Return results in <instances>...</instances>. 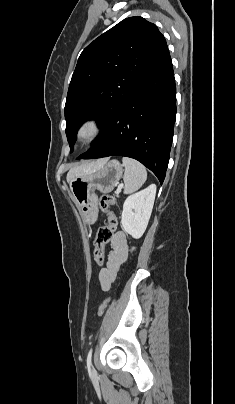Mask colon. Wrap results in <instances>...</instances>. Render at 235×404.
Wrapping results in <instances>:
<instances>
[{"mask_svg":"<svg viewBox=\"0 0 235 404\" xmlns=\"http://www.w3.org/2000/svg\"><path fill=\"white\" fill-rule=\"evenodd\" d=\"M115 204V198L111 195H102L99 199V205L101 210L107 215V224L101 226L96 234L94 241V260L96 264L101 265L104 262V253L106 245L111 241L116 228L117 219L114 213L111 211V206ZM135 250L132 247L131 251ZM110 299L104 300L98 308V316H102L109 305Z\"/></svg>","mask_w":235,"mask_h":404,"instance_id":"colon-1","label":"colon"}]
</instances>
